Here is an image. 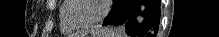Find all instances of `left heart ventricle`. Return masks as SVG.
Instances as JSON below:
<instances>
[{
    "instance_id": "1",
    "label": "left heart ventricle",
    "mask_w": 219,
    "mask_h": 37,
    "mask_svg": "<svg viewBox=\"0 0 219 37\" xmlns=\"http://www.w3.org/2000/svg\"><path fill=\"white\" fill-rule=\"evenodd\" d=\"M101 11L99 0H75V7L69 13V18L76 23L94 19Z\"/></svg>"
}]
</instances>
